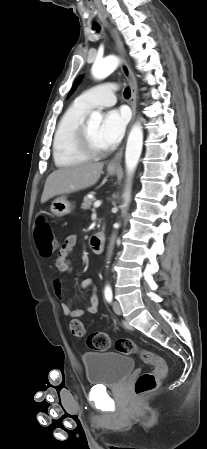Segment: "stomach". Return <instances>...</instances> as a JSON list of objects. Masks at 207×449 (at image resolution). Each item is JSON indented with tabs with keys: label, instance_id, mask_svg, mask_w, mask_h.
Masks as SVG:
<instances>
[{
	"label": "stomach",
	"instance_id": "stomach-1",
	"mask_svg": "<svg viewBox=\"0 0 207 449\" xmlns=\"http://www.w3.org/2000/svg\"><path fill=\"white\" fill-rule=\"evenodd\" d=\"M118 171V169L107 168V172L109 175H115ZM72 210L73 205L67 200L65 196L56 198L51 204V212L57 217H62L70 214Z\"/></svg>",
	"mask_w": 207,
	"mask_h": 449
}]
</instances>
